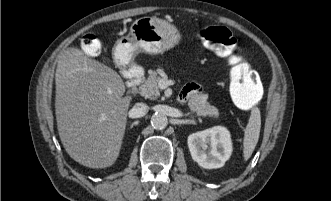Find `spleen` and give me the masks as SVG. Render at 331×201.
<instances>
[{
	"instance_id": "obj_1",
	"label": "spleen",
	"mask_w": 331,
	"mask_h": 201,
	"mask_svg": "<svg viewBox=\"0 0 331 201\" xmlns=\"http://www.w3.org/2000/svg\"><path fill=\"white\" fill-rule=\"evenodd\" d=\"M260 129H261V116H260V111L258 108H253L248 120V124L246 126L245 129V134H244V150H243V156H244V160L247 161L257 143H258V139H259V135H260Z\"/></svg>"
}]
</instances>
